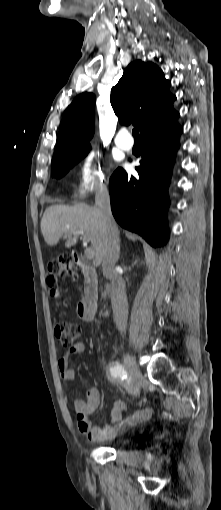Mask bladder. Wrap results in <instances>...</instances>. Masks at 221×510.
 <instances>
[{
    "label": "bladder",
    "instance_id": "obj_1",
    "mask_svg": "<svg viewBox=\"0 0 221 510\" xmlns=\"http://www.w3.org/2000/svg\"><path fill=\"white\" fill-rule=\"evenodd\" d=\"M126 442H127V439H118V440L113 441L112 443L114 445L120 446V445L125 444Z\"/></svg>",
    "mask_w": 221,
    "mask_h": 510
}]
</instances>
